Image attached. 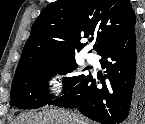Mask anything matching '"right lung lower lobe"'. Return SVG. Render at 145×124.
I'll return each instance as SVG.
<instances>
[{
    "mask_svg": "<svg viewBox=\"0 0 145 124\" xmlns=\"http://www.w3.org/2000/svg\"><path fill=\"white\" fill-rule=\"evenodd\" d=\"M98 54L107 69L105 78L89 74L48 105L78 108L102 124L135 122L145 111V35L136 25L109 41Z\"/></svg>",
    "mask_w": 145,
    "mask_h": 124,
    "instance_id": "right-lung-lower-lobe-1",
    "label": "right lung lower lobe"
}]
</instances>
